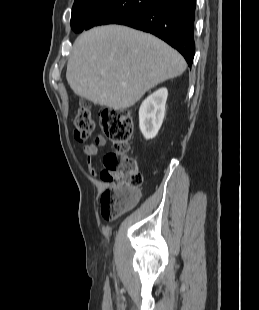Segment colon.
Segmentation results:
<instances>
[{
    "mask_svg": "<svg viewBox=\"0 0 259 310\" xmlns=\"http://www.w3.org/2000/svg\"><path fill=\"white\" fill-rule=\"evenodd\" d=\"M74 137L79 142L88 140L95 129L90 106L83 103L74 118ZM101 127L111 141L113 151L104 158L102 179L112 186L100 199V214L104 221L119 218L136 201L142 185V175L135 158L128 155L130 139L134 131L133 119L127 109H106L101 114Z\"/></svg>",
    "mask_w": 259,
    "mask_h": 310,
    "instance_id": "1",
    "label": "colon"
}]
</instances>
